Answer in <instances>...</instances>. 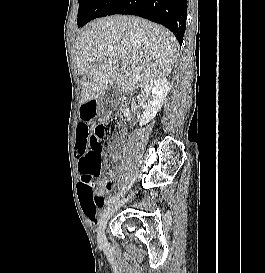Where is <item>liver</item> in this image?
<instances>
[{
  "label": "liver",
  "instance_id": "1",
  "mask_svg": "<svg viewBox=\"0 0 265 273\" xmlns=\"http://www.w3.org/2000/svg\"><path fill=\"white\" fill-rule=\"evenodd\" d=\"M178 42L165 27L134 16L115 15L89 23L76 38L73 53L81 76L85 104L116 84L131 92L166 78L172 71ZM127 68L119 72V62Z\"/></svg>",
  "mask_w": 265,
  "mask_h": 273
}]
</instances>
